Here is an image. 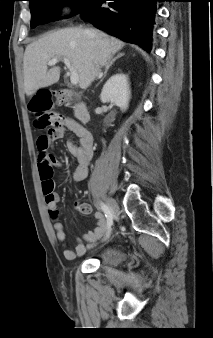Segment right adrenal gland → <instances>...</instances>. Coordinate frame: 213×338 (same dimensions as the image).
<instances>
[{
	"instance_id": "right-adrenal-gland-1",
	"label": "right adrenal gland",
	"mask_w": 213,
	"mask_h": 338,
	"mask_svg": "<svg viewBox=\"0 0 213 338\" xmlns=\"http://www.w3.org/2000/svg\"><path fill=\"white\" fill-rule=\"evenodd\" d=\"M123 55H124V53H119L116 57H114L112 60H109V61L106 63L104 74H103V75H100V77H99V78H100V81H99L98 85H99V84L103 81V79L106 77L108 70H109L110 67L114 64V62H115L118 58L122 57Z\"/></svg>"
}]
</instances>
